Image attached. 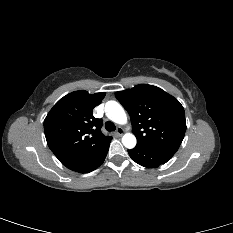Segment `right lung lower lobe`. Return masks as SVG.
<instances>
[{"mask_svg":"<svg viewBox=\"0 0 233 233\" xmlns=\"http://www.w3.org/2000/svg\"><path fill=\"white\" fill-rule=\"evenodd\" d=\"M108 149L109 146L106 147L102 152H100V154L90 164H88L82 171H80V173H88L99 167L104 162Z\"/></svg>","mask_w":233,"mask_h":233,"instance_id":"98d812e1","label":"right lung lower lobe"}]
</instances>
